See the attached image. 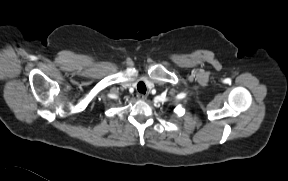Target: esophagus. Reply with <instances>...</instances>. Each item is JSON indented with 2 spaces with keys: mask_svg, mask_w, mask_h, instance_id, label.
Wrapping results in <instances>:
<instances>
[{
  "mask_svg": "<svg viewBox=\"0 0 288 181\" xmlns=\"http://www.w3.org/2000/svg\"><path fill=\"white\" fill-rule=\"evenodd\" d=\"M137 98L139 100H146L147 99V96L145 94H142V93H138L137 94Z\"/></svg>",
  "mask_w": 288,
  "mask_h": 181,
  "instance_id": "1",
  "label": "esophagus"
}]
</instances>
